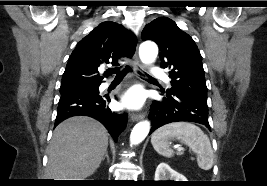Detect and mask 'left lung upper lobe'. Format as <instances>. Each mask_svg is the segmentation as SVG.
Masks as SVG:
<instances>
[{"label":"left lung upper lobe","mask_w":267,"mask_h":186,"mask_svg":"<svg viewBox=\"0 0 267 186\" xmlns=\"http://www.w3.org/2000/svg\"><path fill=\"white\" fill-rule=\"evenodd\" d=\"M141 37L159 45L161 67L169 68L172 87L165 92L178 91L207 99V87L202 57L193 39L176 23L159 17L145 26Z\"/></svg>","instance_id":"1"}]
</instances>
